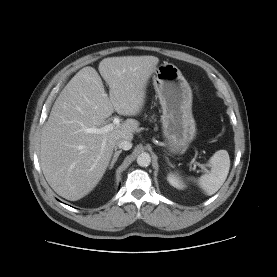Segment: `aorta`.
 Instances as JSON below:
<instances>
[{
	"label": "aorta",
	"instance_id": "obj_1",
	"mask_svg": "<svg viewBox=\"0 0 277 277\" xmlns=\"http://www.w3.org/2000/svg\"><path fill=\"white\" fill-rule=\"evenodd\" d=\"M151 162V157L149 155V153H141L138 155L137 157V164L141 167H147L150 165Z\"/></svg>",
	"mask_w": 277,
	"mask_h": 277
}]
</instances>
